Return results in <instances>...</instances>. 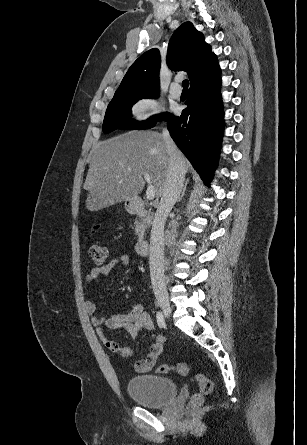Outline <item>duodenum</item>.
<instances>
[{"label": "duodenum", "mask_w": 307, "mask_h": 445, "mask_svg": "<svg viewBox=\"0 0 307 445\" xmlns=\"http://www.w3.org/2000/svg\"><path fill=\"white\" fill-rule=\"evenodd\" d=\"M145 208V203L143 199L140 197H134L132 198L128 203V211L132 214H139L141 213ZM150 250V243L147 240H141L138 242L136 246V251L141 256L148 255Z\"/></svg>", "instance_id": "obj_1"}]
</instances>
